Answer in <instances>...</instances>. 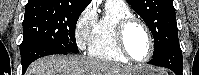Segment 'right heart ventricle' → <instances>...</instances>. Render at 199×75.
<instances>
[{"label":"right heart ventricle","instance_id":"e07e8e85","mask_svg":"<svg viewBox=\"0 0 199 75\" xmlns=\"http://www.w3.org/2000/svg\"><path fill=\"white\" fill-rule=\"evenodd\" d=\"M107 12L97 23L94 37L88 47L90 56L119 64L128 63V59L119 50L115 38V26L125 17L131 16L129 8L107 6Z\"/></svg>","mask_w":199,"mask_h":75}]
</instances>
